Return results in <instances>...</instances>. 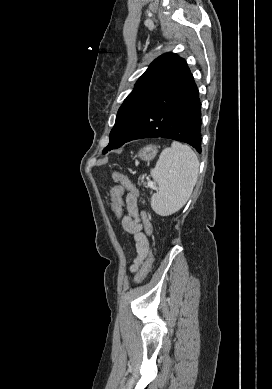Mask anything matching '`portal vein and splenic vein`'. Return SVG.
Here are the masks:
<instances>
[{
    "mask_svg": "<svg viewBox=\"0 0 272 389\" xmlns=\"http://www.w3.org/2000/svg\"><path fill=\"white\" fill-rule=\"evenodd\" d=\"M148 186H149V187H153V182H152V181H149V182H148Z\"/></svg>",
    "mask_w": 272,
    "mask_h": 389,
    "instance_id": "18ae733b",
    "label": "portal vein and splenic vein"
}]
</instances>
